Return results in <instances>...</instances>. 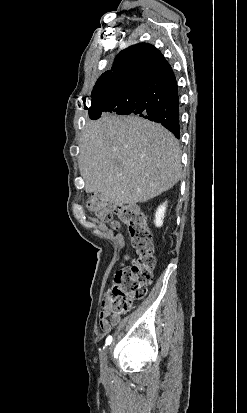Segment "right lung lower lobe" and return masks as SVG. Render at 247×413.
<instances>
[{
	"label": "right lung lower lobe",
	"instance_id": "1",
	"mask_svg": "<svg viewBox=\"0 0 247 413\" xmlns=\"http://www.w3.org/2000/svg\"><path fill=\"white\" fill-rule=\"evenodd\" d=\"M126 82L134 89L133 96L100 101L88 109L89 117L96 120L105 112L136 114L161 123L179 139V95L171 66L155 72H135Z\"/></svg>",
	"mask_w": 247,
	"mask_h": 413
}]
</instances>
